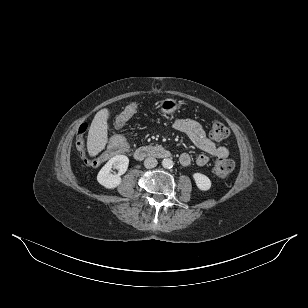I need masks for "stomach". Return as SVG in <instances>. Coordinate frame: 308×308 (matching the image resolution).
Instances as JSON below:
<instances>
[{"instance_id": "0dacf381", "label": "stomach", "mask_w": 308, "mask_h": 308, "mask_svg": "<svg viewBox=\"0 0 308 308\" xmlns=\"http://www.w3.org/2000/svg\"><path fill=\"white\" fill-rule=\"evenodd\" d=\"M159 107H160L161 112L170 114V113L175 112L177 109H179L180 104L175 99L167 98L160 102Z\"/></svg>"}]
</instances>
